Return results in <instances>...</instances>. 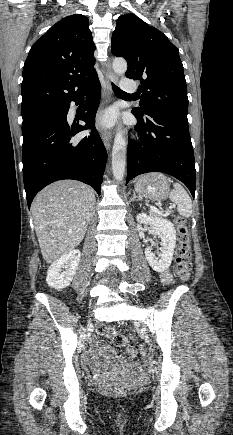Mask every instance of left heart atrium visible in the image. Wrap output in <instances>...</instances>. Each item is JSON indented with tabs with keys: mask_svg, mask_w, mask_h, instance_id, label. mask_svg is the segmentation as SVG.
Returning <instances> with one entry per match:
<instances>
[{
	"mask_svg": "<svg viewBox=\"0 0 233 435\" xmlns=\"http://www.w3.org/2000/svg\"><path fill=\"white\" fill-rule=\"evenodd\" d=\"M115 115L112 111H108L99 118V125L109 127L114 123Z\"/></svg>",
	"mask_w": 233,
	"mask_h": 435,
	"instance_id": "obj_1",
	"label": "left heart atrium"
}]
</instances>
